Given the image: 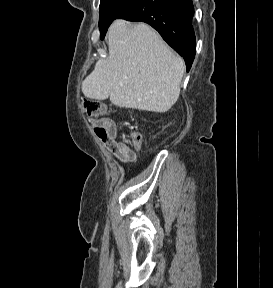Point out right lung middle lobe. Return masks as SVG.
I'll return each mask as SVG.
<instances>
[{"instance_id": "obj_1", "label": "right lung middle lobe", "mask_w": 273, "mask_h": 288, "mask_svg": "<svg viewBox=\"0 0 273 288\" xmlns=\"http://www.w3.org/2000/svg\"><path fill=\"white\" fill-rule=\"evenodd\" d=\"M137 0H101L99 29L103 39L110 24L127 11Z\"/></svg>"}]
</instances>
